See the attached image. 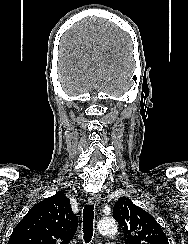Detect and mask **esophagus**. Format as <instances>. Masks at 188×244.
<instances>
[{
    "instance_id": "1",
    "label": "esophagus",
    "mask_w": 188,
    "mask_h": 244,
    "mask_svg": "<svg viewBox=\"0 0 188 244\" xmlns=\"http://www.w3.org/2000/svg\"><path fill=\"white\" fill-rule=\"evenodd\" d=\"M99 200H100L99 194H96V193L90 194L88 197V202L90 204L98 203Z\"/></svg>"
}]
</instances>
